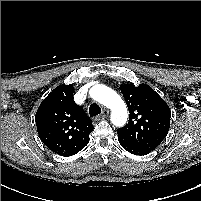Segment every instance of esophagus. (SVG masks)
Segmentation results:
<instances>
[{
  "label": "esophagus",
  "instance_id": "1",
  "mask_svg": "<svg viewBox=\"0 0 201 201\" xmlns=\"http://www.w3.org/2000/svg\"><path fill=\"white\" fill-rule=\"evenodd\" d=\"M109 115V110L108 109H104L102 114L97 118L98 120H101V119H104V118H107Z\"/></svg>",
  "mask_w": 201,
  "mask_h": 201
}]
</instances>
